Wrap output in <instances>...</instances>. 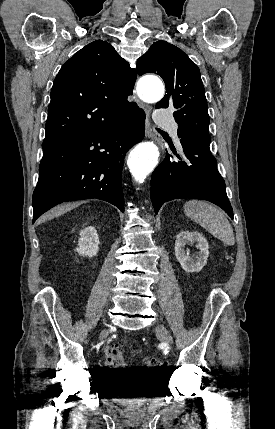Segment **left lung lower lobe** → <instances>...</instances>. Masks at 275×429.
<instances>
[{"mask_svg": "<svg viewBox=\"0 0 275 429\" xmlns=\"http://www.w3.org/2000/svg\"><path fill=\"white\" fill-rule=\"evenodd\" d=\"M180 142L185 161L181 158V161H174L171 155L166 153L164 161L152 173L150 194L155 213H158L164 202L192 198L218 205L233 219L225 181L217 169L215 157L210 152V143L190 135L180 137Z\"/></svg>", "mask_w": 275, "mask_h": 429, "instance_id": "0a47b994", "label": "left lung lower lobe"}]
</instances>
